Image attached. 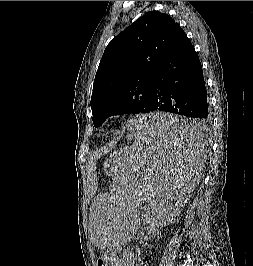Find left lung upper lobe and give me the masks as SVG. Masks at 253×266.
I'll return each mask as SVG.
<instances>
[{"instance_id":"obj_1","label":"left lung upper lobe","mask_w":253,"mask_h":266,"mask_svg":"<svg viewBox=\"0 0 253 266\" xmlns=\"http://www.w3.org/2000/svg\"><path fill=\"white\" fill-rule=\"evenodd\" d=\"M176 25L167 14L151 11L110 41L93 85L95 127L112 115L146 113L158 60Z\"/></svg>"}]
</instances>
